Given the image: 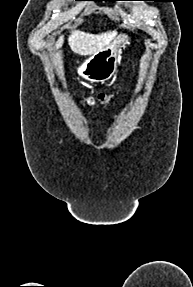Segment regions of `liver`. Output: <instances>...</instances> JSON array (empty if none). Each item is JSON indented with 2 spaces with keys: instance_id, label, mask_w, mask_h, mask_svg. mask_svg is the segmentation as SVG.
<instances>
[{
  "instance_id": "6515ba94",
  "label": "liver",
  "mask_w": 193,
  "mask_h": 287,
  "mask_svg": "<svg viewBox=\"0 0 193 287\" xmlns=\"http://www.w3.org/2000/svg\"><path fill=\"white\" fill-rule=\"evenodd\" d=\"M116 31H108L100 34H90L83 31L74 30L68 37V42L71 50L79 55H92L107 47L116 36ZM63 44L61 36L56 48H60Z\"/></svg>"
}]
</instances>
